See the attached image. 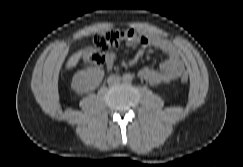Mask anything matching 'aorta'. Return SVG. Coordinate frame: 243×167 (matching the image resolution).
Wrapping results in <instances>:
<instances>
[{
  "instance_id": "obj_1",
  "label": "aorta",
  "mask_w": 243,
  "mask_h": 167,
  "mask_svg": "<svg viewBox=\"0 0 243 167\" xmlns=\"http://www.w3.org/2000/svg\"><path fill=\"white\" fill-rule=\"evenodd\" d=\"M122 79L125 83H130L133 80V76L131 74H124Z\"/></svg>"
}]
</instances>
